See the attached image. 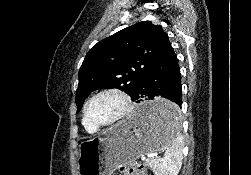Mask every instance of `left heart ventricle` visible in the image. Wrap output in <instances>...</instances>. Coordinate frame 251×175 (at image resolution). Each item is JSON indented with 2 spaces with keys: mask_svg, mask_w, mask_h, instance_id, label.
<instances>
[{
  "mask_svg": "<svg viewBox=\"0 0 251 175\" xmlns=\"http://www.w3.org/2000/svg\"><path fill=\"white\" fill-rule=\"evenodd\" d=\"M124 102L115 92H107L96 97L88 108V126L108 125L118 120L124 113Z\"/></svg>",
  "mask_w": 251,
  "mask_h": 175,
  "instance_id": "obj_1",
  "label": "left heart ventricle"
}]
</instances>
